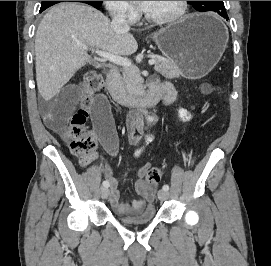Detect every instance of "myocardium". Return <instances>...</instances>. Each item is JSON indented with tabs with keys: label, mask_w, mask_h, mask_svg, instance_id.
<instances>
[{
	"label": "myocardium",
	"mask_w": 271,
	"mask_h": 266,
	"mask_svg": "<svg viewBox=\"0 0 271 266\" xmlns=\"http://www.w3.org/2000/svg\"><path fill=\"white\" fill-rule=\"evenodd\" d=\"M178 4H179L178 9L176 10V12H174L171 15L153 16V15L148 14L147 12H144V17L146 18V20L156 23V24H171V23L178 22L187 13L188 2L179 1Z\"/></svg>",
	"instance_id": "f54148a6"
}]
</instances>
